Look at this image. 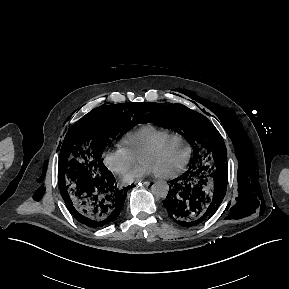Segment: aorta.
I'll use <instances>...</instances> for the list:
<instances>
[{
  "mask_svg": "<svg viewBox=\"0 0 289 289\" xmlns=\"http://www.w3.org/2000/svg\"><path fill=\"white\" fill-rule=\"evenodd\" d=\"M169 191V185L164 180L156 181L151 186V192L156 198H166Z\"/></svg>",
  "mask_w": 289,
  "mask_h": 289,
  "instance_id": "1",
  "label": "aorta"
}]
</instances>
